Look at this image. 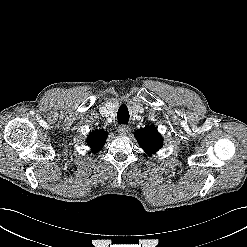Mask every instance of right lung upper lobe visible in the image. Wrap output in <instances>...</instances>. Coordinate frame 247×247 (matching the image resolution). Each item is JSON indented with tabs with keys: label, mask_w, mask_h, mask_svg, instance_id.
<instances>
[{
	"label": "right lung upper lobe",
	"mask_w": 247,
	"mask_h": 247,
	"mask_svg": "<svg viewBox=\"0 0 247 247\" xmlns=\"http://www.w3.org/2000/svg\"><path fill=\"white\" fill-rule=\"evenodd\" d=\"M108 133L102 130L92 132L88 137V145L93 152L99 151L106 142Z\"/></svg>",
	"instance_id": "obj_1"
}]
</instances>
